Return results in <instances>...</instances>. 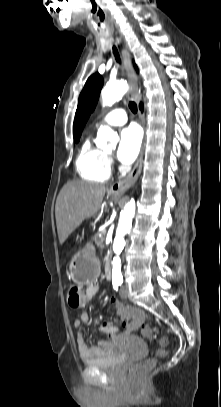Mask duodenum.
Returning a JSON list of instances; mask_svg holds the SVG:
<instances>
[{"label":"duodenum","instance_id":"obj_1","mask_svg":"<svg viewBox=\"0 0 221 407\" xmlns=\"http://www.w3.org/2000/svg\"><path fill=\"white\" fill-rule=\"evenodd\" d=\"M105 273L107 277H111V262L109 260L105 264Z\"/></svg>","mask_w":221,"mask_h":407}]
</instances>
